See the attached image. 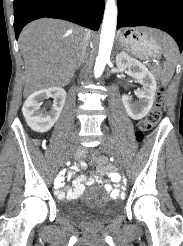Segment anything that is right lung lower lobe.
I'll return each mask as SVG.
<instances>
[{
    "label": "right lung lower lobe",
    "instance_id": "right-lung-lower-lobe-1",
    "mask_svg": "<svg viewBox=\"0 0 183 246\" xmlns=\"http://www.w3.org/2000/svg\"><path fill=\"white\" fill-rule=\"evenodd\" d=\"M104 7V0H14L16 39L26 24L43 17L67 20L96 31Z\"/></svg>",
    "mask_w": 183,
    "mask_h": 246
}]
</instances>
